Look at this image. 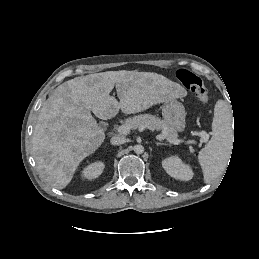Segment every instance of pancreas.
Masks as SVG:
<instances>
[{"mask_svg": "<svg viewBox=\"0 0 259 259\" xmlns=\"http://www.w3.org/2000/svg\"><path fill=\"white\" fill-rule=\"evenodd\" d=\"M125 123L126 125H129L131 129L147 128L152 131H161V136L163 137V139L170 140L177 137V132L173 127L154 115H137L132 118H128Z\"/></svg>", "mask_w": 259, "mask_h": 259, "instance_id": "cf45deb5", "label": "pancreas"}]
</instances>
